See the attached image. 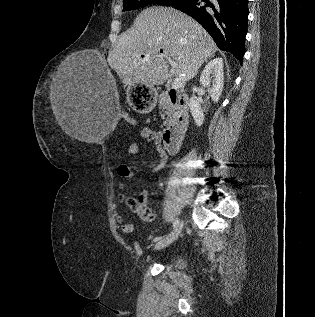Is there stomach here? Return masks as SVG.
Listing matches in <instances>:
<instances>
[{
	"label": "stomach",
	"mask_w": 315,
	"mask_h": 317,
	"mask_svg": "<svg viewBox=\"0 0 315 317\" xmlns=\"http://www.w3.org/2000/svg\"><path fill=\"white\" fill-rule=\"evenodd\" d=\"M127 94L130 97V108H136L137 114L155 113L158 97L152 84H128Z\"/></svg>",
	"instance_id": "1"
}]
</instances>
